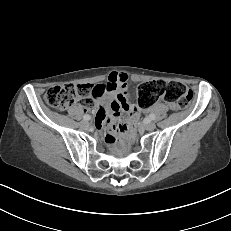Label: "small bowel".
<instances>
[{"instance_id":"obj_1","label":"small bowel","mask_w":231,"mask_h":231,"mask_svg":"<svg viewBox=\"0 0 231 231\" xmlns=\"http://www.w3.org/2000/svg\"><path fill=\"white\" fill-rule=\"evenodd\" d=\"M127 80L126 74L112 73L108 80L103 83L86 84L91 89V99H99L101 104L106 105V107L101 106L97 112V129L108 128L112 132H116L115 123L120 112L136 110V107L130 101ZM109 139L113 140V137L110 136Z\"/></svg>"}]
</instances>
